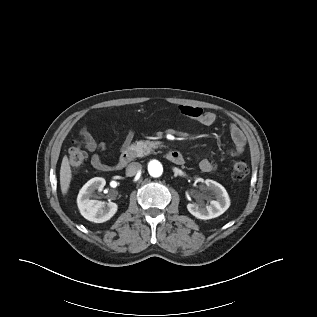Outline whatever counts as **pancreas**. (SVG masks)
I'll return each mask as SVG.
<instances>
[{
  "mask_svg": "<svg viewBox=\"0 0 317 317\" xmlns=\"http://www.w3.org/2000/svg\"><path fill=\"white\" fill-rule=\"evenodd\" d=\"M161 143L159 141H137L134 144H131L128 147V154L131 156V158L135 157H143L145 155H148L153 149L157 148Z\"/></svg>",
  "mask_w": 317,
  "mask_h": 317,
  "instance_id": "pancreas-1",
  "label": "pancreas"
}]
</instances>
